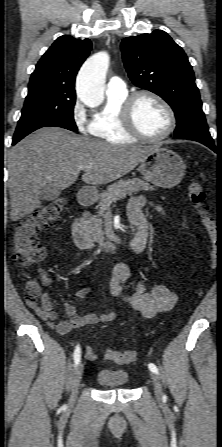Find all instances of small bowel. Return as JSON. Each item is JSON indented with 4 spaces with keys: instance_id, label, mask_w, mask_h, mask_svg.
<instances>
[{
    "instance_id": "1",
    "label": "small bowel",
    "mask_w": 222,
    "mask_h": 447,
    "mask_svg": "<svg viewBox=\"0 0 222 447\" xmlns=\"http://www.w3.org/2000/svg\"><path fill=\"white\" fill-rule=\"evenodd\" d=\"M145 206H151L158 211H162L159 205L150 202L143 195L133 197L128 204V219L135 226L136 231L131 243L134 252H141L146 247L147 223L142 214ZM132 277V269L125 263H117L113 267V277L110 282V293L116 298L127 302L135 311L144 318H153L157 313L168 312L173 309L177 302V296L170 288L163 283L148 285L144 281H139L132 294H124L122 284ZM45 285H49V278L45 279ZM93 291L92 286H84L75 292V297L84 299ZM29 309L34 311L43 321L54 327L59 334H67L72 330L82 328L97 323H108L116 320L114 312L89 313L86 315H76V307L70 302L62 301V307L66 319L55 323L58 314L54 310L53 302L48 290H45L36 302H27ZM85 356L94 360L96 355L90 347L85 348Z\"/></svg>"
}]
</instances>
